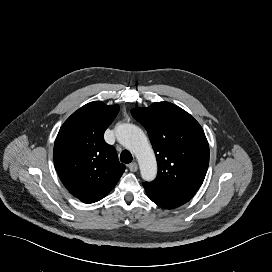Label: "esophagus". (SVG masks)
Masks as SVG:
<instances>
[{
	"label": "esophagus",
	"mask_w": 272,
	"mask_h": 272,
	"mask_svg": "<svg viewBox=\"0 0 272 272\" xmlns=\"http://www.w3.org/2000/svg\"><path fill=\"white\" fill-rule=\"evenodd\" d=\"M128 168H129L130 171L136 172L137 169H138V165H137L136 162H133V163H130V164L128 165Z\"/></svg>",
	"instance_id": "obj_1"
}]
</instances>
